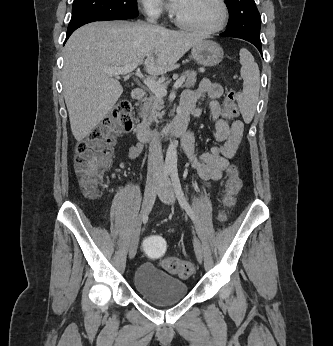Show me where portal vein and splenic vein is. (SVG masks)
I'll use <instances>...</instances> for the list:
<instances>
[{"instance_id": "portal-vein-and-splenic-vein-1", "label": "portal vein and splenic vein", "mask_w": 333, "mask_h": 346, "mask_svg": "<svg viewBox=\"0 0 333 346\" xmlns=\"http://www.w3.org/2000/svg\"><path fill=\"white\" fill-rule=\"evenodd\" d=\"M137 67L138 64H130L124 67L105 68L104 71L112 76L130 75ZM184 80V77H180L179 79H177L173 85V88L177 89L182 86ZM143 82L156 96L164 97L167 95L166 87L163 84L156 82L150 78H146Z\"/></svg>"}]
</instances>
